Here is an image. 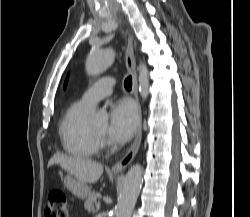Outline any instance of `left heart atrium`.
<instances>
[{
	"instance_id": "1",
	"label": "left heart atrium",
	"mask_w": 250,
	"mask_h": 217,
	"mask_svg": "<svg viewBox=\"0 0 250 217\" xmlns=\"http://www.w3.org/2000/svg\"><path fill=\"white\" fill-rule=\"evenodd\" d=\"M139 114L135 104L128 99H121L112 104L108 135L111 140L124 143L136 132Z\"/></svg>"
}]
</instances>
